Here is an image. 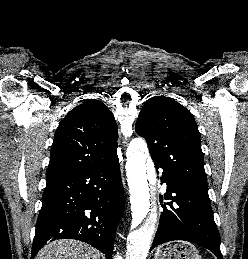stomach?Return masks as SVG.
Returning a JSON list of instances; mask_svg holds the SVG:
<instances>
[{
  "mask_svg": "<svg viewBox=\"0 0 248 259\" xmlns=\"http://www.w3.org/2000/svg\"><path fill=\"white\" fill-rule=\"evenodd\" d=\"M154 259H201L192 244L184 241L171 242L156 249Z\"/></svg>",
  "mask_w": 248,
  "mask_h": 259,
  "instance_id": "1",
  "label": "stomach"
}]
</instances>
